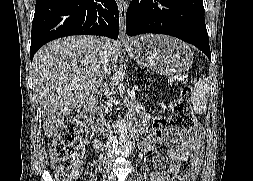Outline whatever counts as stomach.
Returning a JSON list of instances; mask_svg holds the SVG:
<instances>
[{"instance_id": "obj_1", "label": "stomach", "mask_w": 253, "mask_h": 181, "mask_svg": "<svg viewBox=\"0 0 253 181\" xmlns=\"http://www.w3.org/2000/svg\"><path fill=\"white\" fill-rule=\"evenodd\" d=\"M125 48L136 62L163 75L181 74L193 62L187 44L166 35H143L132 39Z\"/></svg>"}]
</instances>
